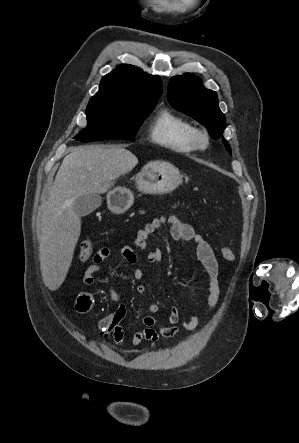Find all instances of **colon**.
I'll use <instances>...</instances> for the list:
<instances>
[{
    "mask_svg": "<svg viewBox=\"0 0 299 443\" xmlns=\"http://www.w3.org/2000/svg\"><path fill=\"white\" fill-rule=\"evenodd\" d=\"M92 243L89 239L84 240L79 249V260L81 262L87 261L92 255ZM222 256L227 261H234L235 254L226 246H222L221 248Z\"/></svg>",
    "mask_w": 299,
    "mask_h": 443,
    "instance_id": "1",
    "label": "colon"
}]
</instances>
